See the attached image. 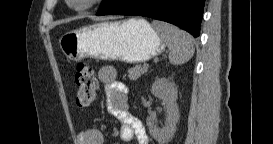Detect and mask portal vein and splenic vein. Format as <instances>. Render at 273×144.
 I'll list each match as a JSON object with an SVG mask.
<instances>
[{"mask_svg": "<svg viewBox=\"0 0 273 144\" xmlns=\"http://www.w3.org/2000/svg\"><path fill=\"white\" fill-rule=\"evenodd\" d=\"M144 67L147 69L148 68V64H145Z\"/></svg>", "mask_w": 273, "mask_h": 144, "instance_id": "18ae733b", "label": "portal vein and splenic vein"}]
</instances>
